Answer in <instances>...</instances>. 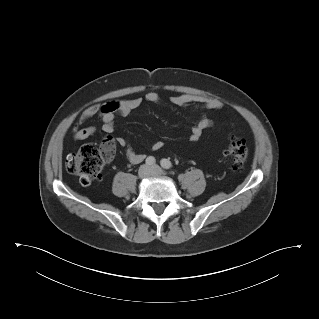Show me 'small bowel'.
Listing matches in <instances>:
<instances>
[{"label": "small bowel", "mask_w": 319, "mask_h": 319, "mask_svg": "<svg viewBox=\"0 0 319 319\" xmlns=\"http://www.w3.org/2000/svg\"><path fill=\"white\" fill-rule=\"evenodd\" d=\"M143 100L149 103H158L161 97L156 91H148L143 98L134 97L130 99L107 102L105 104H93L87 107L78 124L73 128V138L75 140H85L97 132V129L93 126L80 127V125L87 122L89 119L99 116L102 120L101 130L105 134H111L114 131V123L116 116L128 115L137 109L143 102ZM171 102L177 106L182 107H195L202 110H214L219 111L223 108V102L216 98L199 95L189 94H177L170 98ZM214 125V121L205 115H203L191 128L189 134V140L196 142L202 135L203 131L211 128ZM118 146L124 150V154L127 160L132 164L141 163L145 159V155L137 153L126 139L118 137L116 139ZM161 141H155L152 145L153 149L158 150L162 148Z\"/></svg>", "instance_id": "1"}]
</instances>
